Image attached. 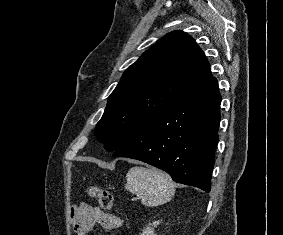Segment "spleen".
I'll return each mask as SVG.
<instances>
[{
	"mask_svg": "<svg viewBox=\"0 0 283 235\" xmlns=\"http://www.w3.org/2000/svg\"><path fill=\"white\" fill-rule=\"evenodd\" d=\"M125 189L148 207H155L170 201L175 193V183L163 171L155 168L134 166L126 175Z\"/></svg>",
	"mask_w": 283,
	"mask_h": 235,
	"instance_id": "1",
	"label": "spleen"
}]
</instances>
